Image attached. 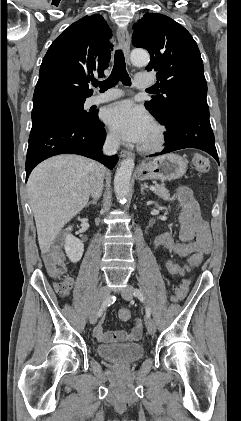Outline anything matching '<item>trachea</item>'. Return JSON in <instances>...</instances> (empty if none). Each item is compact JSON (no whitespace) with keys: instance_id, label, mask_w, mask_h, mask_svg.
<instances>
[{"instance_id":"1","label":"trachea","mask_w":241,"mask_h":421,"mask_svg":"<svg viewBox=\"0 0 241 421\" xmlns=\"http://www.w3.org/2000/svg\"><path fill=\"white\" fill-rule=\"evenodd\" d=\"M119 81L126 86L131 85L130 77L126 71L124 55L121 50L115 52L114 66L111 75L102 82L94 81L92 84L95 87L99 86L101 91H106L107 89L114 87Z\"/></svg>"}]
</instances>
